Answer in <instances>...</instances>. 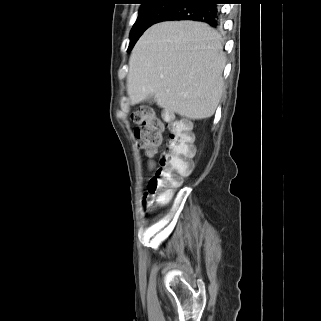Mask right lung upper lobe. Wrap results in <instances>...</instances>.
I'll use <instances>...</instances> for the list:
<instances>
[{"mask_svg": "<svg viewBox=\"0 0 321 321\" xmlns=\"http://www.w3.org/2000/svg\"><path fill=\"white\" fill-rule=\"evenodd\" d=\"M142 1V4H145L147 2H150V1H154V0H141ZM176 1V4H180L181 2H184L186 0H175Z\"/></svg>", "mask_w": 321, "mask_h": 321, "instance_id": "1", "label": "right lung upper lobe"}]
</instances>
